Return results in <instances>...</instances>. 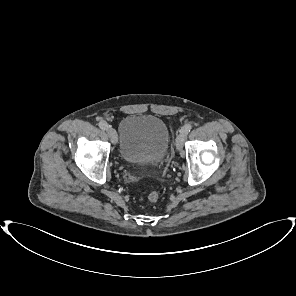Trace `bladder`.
<instances>
[{
  "mask_svg": "<svg viewBox=\"0 0 296 296\" xmlns=\"http://www.w3.org/2000/svg\"><path fill=\"white\" fill-rule=\"evenodd\" d=\"M166 124L152 115H130L119 125V152L132 165L161 162L168 150Z\"/></svg>",
  "mask_w": 296,
  "mask_h": 296,
  "instance_id": "obj_1",
  "label": "bladder"
}]
</instances>
